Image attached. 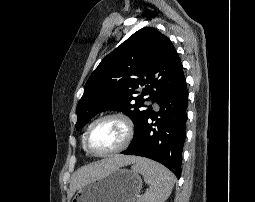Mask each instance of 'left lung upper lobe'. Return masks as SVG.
I'll use <instances>...</instances> for the list:
<instances>
[{"mask_svg": "<svg viewBox=\"0 0 255 202\" xmlns=\"http://www.w3.org/2000/svg\"><path fill=\"white\" fill-rule=\"evenodd\" d=\"M183 67L169 38L151 27L135 32L103 58L89 77L77 105V128L105 110L128 115L140 130L152 107L183 80ZM148 95L147 99L144 96Z\"/></svg>", "mask_w": 255, "mask_h": 202, "instance_id": "1", "label": "left lung upper lobe"}]
</instances>
